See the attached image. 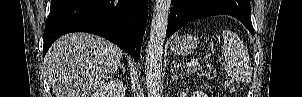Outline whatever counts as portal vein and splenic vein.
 I'll return each instance as SVG.
<instances>
[{
  "mask_svg": "<svg viewBox=\"0 0 302 97\" xmlns=\"http://www.w3.org/2000/svg\"><path fill=\"white\" fill-rule=\"evenodd\" d=\"M207 58H208V57H204L203 59H204V60H207ZM198 61H199V58L193 59V60H191L190 62L186 63L185 67H187V68H188V67H191V66L197 64Z\"/></svg>",
  "mask_w": 302,
  "mask_h": 97,
  "instance_id": "portal-vein-and-splenic-vein-1",
  "label": "portal vein and splenic vein"
}]
</instances>
